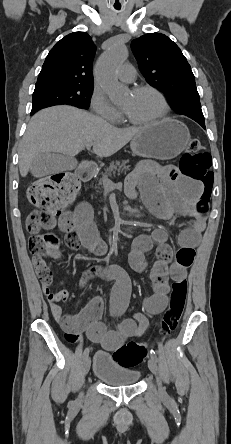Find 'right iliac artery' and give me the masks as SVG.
Here are the masks:
<instances>
[{"label":"right iliac artery","instance_id":"obj_1","mask_svg":"<svg viewBox=\"0 0 231 444\" xmlns=\"http://www.w3.org/2000/svg\"><path fill=\"white\" fill-rule=\"evenodd\" d=\"M89 354V348H86L83 352V358L87 357Z\"/></svg>","mask_w":231,"mask_h":444}]
</instances>
